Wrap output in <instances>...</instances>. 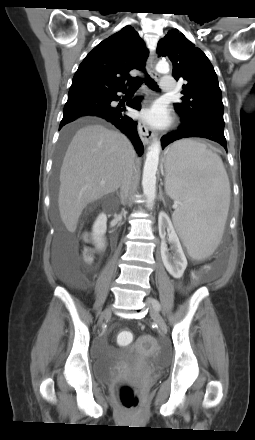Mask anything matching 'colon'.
<instances>
[{
    "mask_svg": "<svg viewBox=\"0 0 255 440\" xmlns=\"http://www.w3.org/2000/svg\"><path fill=\"white\" fill-rule=\"evenodd\" d=\"M134 339L133 334L130 331H121L117 335V341L120 345H129ZM119 397L123 405L128 408H132L137 404V395L134 390L129 386H123L120 389Z\"/></svg>",
    "mask_w": 255,
    "mask_h": 440,
    "instance_id": "obj_1",
    "label": "colon"
}]
</instances>
